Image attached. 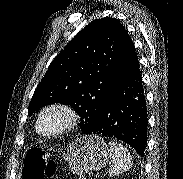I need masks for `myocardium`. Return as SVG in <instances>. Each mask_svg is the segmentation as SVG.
Instances as JSON below:
<instances>
[{"mask_svg": "<svg viewBox=\"0 0 183 179\" xmlns=\"http://www.w3.org/2000/svg\"><path fill=\"white\" fill-rule=\"evenodd\" d=\"M49 111L62 112L66 117V122L63 126L58 128L57 130L51 132H45L41 129V120L43 116ZM78 122H79V114L72 105L62 102H56L45 106L40 111L36 121V130L42 136L54 137L72 131L77 126Z\"/></svg>", "mask_w": 183, "mask_h": 179, "instance_id": "obj_1", "label": "myocardium"}]
</instances>
